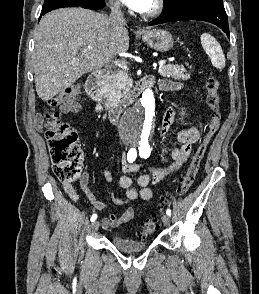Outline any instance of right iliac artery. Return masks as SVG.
Returning a JSON list of instances; mask_svg holds the SVG:
<instances>
[{
	"label": "right iliac artery",
	"instance_id": "obj_1",
	"mask_svg": "<svg viewBox=\"0 0 259 294\" xmlns=\"http://www.w3.org/2000/svg\"><path fill=\"white\" fill-rule=\"evenodd\" d=\"M136 157H137V150L135 148H131L128 151L127 160L131 163V162H134L136 160ZM96 219H97V214H93L91 216V222L95 221Z\"/></svg>",
	"mask_w": 259,
	"mask_h": 294
}]
</instances>
